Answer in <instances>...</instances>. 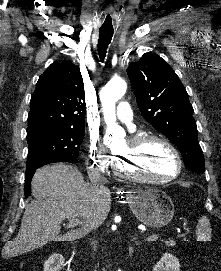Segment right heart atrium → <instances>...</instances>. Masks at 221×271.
<instances>
[{"instance_id":"obj_1","label":"right heart atrium","mask_w":221,"mask_h":271,"mask_svg":"<svg viewBox=\"0 0 221 271\" xmlns=\"http://www.w3.org/2000/svg\"><path fill=\"white\" fill-rule=\"evenodd\" d=\"M93 151H89V156L94 161L92 167H108V162H103L105 159H111V154H103V151H94L96 148H91Z\"/></svg>"}]
</instances>
